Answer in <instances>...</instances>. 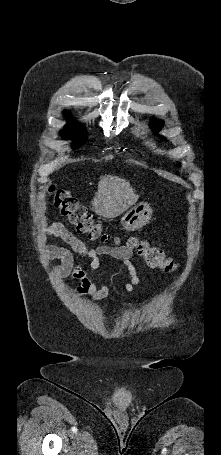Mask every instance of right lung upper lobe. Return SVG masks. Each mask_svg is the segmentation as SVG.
I'll use <instances>...</instances> for the list:
<instances>
[{
    "instance_id": "1",
    "label": "right lung upper lobe",
    "mask_w": 221,
    "mask_h": 455,
    "mask_svg": "<svg viewBox=\"0 0 221 455\" xmlns=\"http://www.w3.org/2000/svg\"><path fill=\"white\" fill-rule=\"evenodd\" d=\"M67 116H69V115L67 114ZM69 121L72 122V117H69ZM72 123H73V122H72Z\"/></svg>"
}]
</instances>
